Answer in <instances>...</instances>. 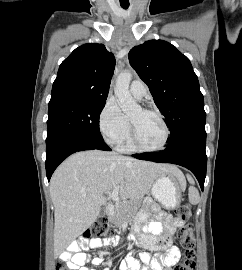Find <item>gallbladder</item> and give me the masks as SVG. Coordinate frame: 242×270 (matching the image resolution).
Listing matches in <instances>:
<instances>
[{"label": "gallbladder", "mask_w": 242, "mask_h": 270, "mask_svg": "<svg viewBox=\"0 0 242 270\" xmlns=\"http://www.w3.org/2000/svg\"><path fill=\"white\" fill-rule=\"evenodd\" d=\"M105 215V209H101L100 213H99V217H103Z\"/></svg>", "instance_id": "obj_1"}]
</instances>
